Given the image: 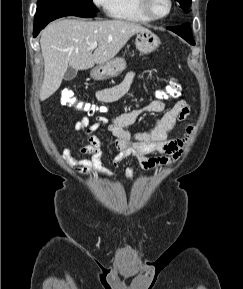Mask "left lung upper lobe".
I'll return each instance as SVG.
<instances>
[{
	"label": "left lung upper lobe",
	"instance_id": "left-lung-upper-lobe-1",
	"mask_svg": "<svg viewBox=\"0 0 243 289\" xmlns=\"http://www.w3.org/2000/svg\"><path fill=\"white\" fill-rule=\"evenodd\" d=\"M180 3L181 7L187 11L191 5V0H176Z\"/></svg>",
	"mask_w": 243,
	"mask_h": 289
}]
</instances>
